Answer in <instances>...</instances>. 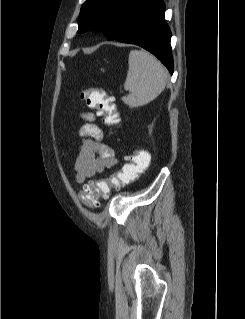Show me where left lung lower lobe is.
<instances>
[{
  "label": "left lung lower lobe",
  "instance_id": "0a47b994",
  "mask_svg": "<svg viewBox=\"0 0 245 319\" xmlns=\"http://www.w3.org/2000/svg\"><path fill=\"white\" fill-rule=\"evenodd\" d=\"M164 13L163 0H147L128 17L114 40L148 50L173 74L171 32L165 23Z\"/></svg>",
  "mask_w": 245,
  "mask_h": 319
}]
</instances>
